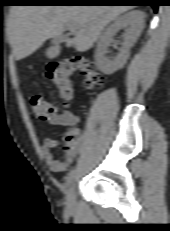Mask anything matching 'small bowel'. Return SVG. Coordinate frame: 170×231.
<instances>
[{"label": "small bowel", "instance_id": "obj_1", "mask_svg": "<svg viewBox=\"0 0 170 231\" xmlns=\"http://www.w3.org/2000/svg\"><path fill=\"white\" fill-rule=\"evenodd\" d=\"M79 122V118L68 110L57 111L53 117L48 120V124L52 126H75ZM58 145V142L51 138L45 137L42 146V155L48 168L55 173L65 172L70 165L74 162L77 152L82 146V142L66 146L63 160H57L54 158L52 149Z\"/></svg>", "mask_w": 170, "mask_h": 231}]
</instances>
